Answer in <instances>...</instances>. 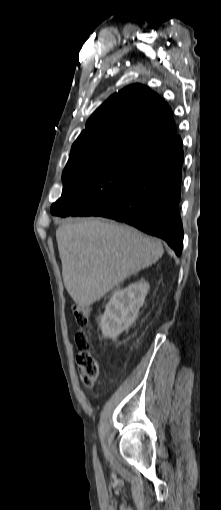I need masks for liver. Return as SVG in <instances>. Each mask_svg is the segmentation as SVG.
<instances>
[{"label":"liver","mask_w":221,"mask_h":510,"mask_svg":"<svg viewBox=\"0 0 221 510\" xmlns=\"http://www.w3.org/2000/svg\"><path fill=\"white\" fill-rule=\"evenodd\" d=\"M64 286L89 307L127 277L156 263L161 241L137 229L96 218L69 220L56 230Z\"/></svg>","instance_id":"obj_1"}]
</instances>
